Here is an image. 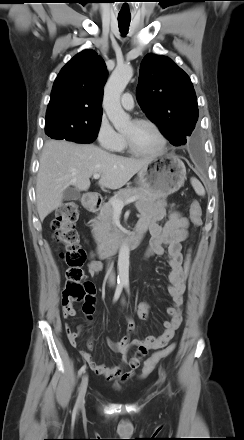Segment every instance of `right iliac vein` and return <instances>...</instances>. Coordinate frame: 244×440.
I'll return each mask as SVG.
<instances>
[{
	"label": "right iliac vein",
	"instance_id": "1",
	"mask_svg": "<svg viewBox=\"0 0 244 440\" xmlns=\"http://www.w3.org/2000/svg\"><path fill=\"white\" fill-rule=\"evenodd\" d=\"M87 385H88V375L85 374L82 378L80 388H79V395H78V400H77V407L78 408H80L84 403Z\"/></svg>",
	"mask_w": 244,
	"mask_h": 440
}]
</instances>
